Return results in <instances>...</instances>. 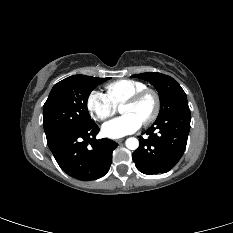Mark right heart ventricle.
Wrapping results in <instances>:
<instances>
[{"label":"right heart ventricle","mask_w":233,"mask_h":233,"mask_svg":"<svg viewBox=\"0 0 233 233\" xmlns=\"http://www.w3.org/2000/svg\"><path fill=\"white\" fill-rule=\"evenodd\" d=\"M146 88V84L141 81L122 79L109 83L105 95L115 107H118L130 96Z\"/></svg>","instance_id":"right-heart-ventricle-1"}]
</instances>
